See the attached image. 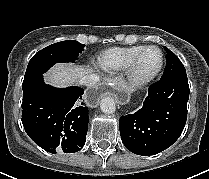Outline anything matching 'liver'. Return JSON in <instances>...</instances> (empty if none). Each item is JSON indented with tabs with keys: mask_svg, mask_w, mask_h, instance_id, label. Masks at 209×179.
<instances>
[{
	"mask_svg": "<svg viewBox=\"0 0 209 179\" xmlns=\"http://www.w3.org/2000/svg\"><path fill=\"white\" fill-rule=\"evenodd\" d=\"M91 73L90 68L72 64H57L45 76L46 81L57 87H65Z\"/></svg>",
	"mask_w": 209,
	"mask_h": 179,
	"instance_id": "liver-1",
	"label": "liver"
}]
</instances>
